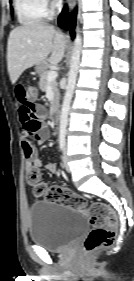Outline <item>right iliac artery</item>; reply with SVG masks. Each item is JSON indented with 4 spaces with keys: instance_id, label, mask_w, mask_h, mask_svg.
I'll return each instance as SVG.
<instances>
[{
    "instance_id": "1",
    "label": "right iliac artery",
    "mask_w": 134,
    "mask_h": 281,
    "mask_svg": "<svg viewBox=\"0 0 134 281\" xmlns=\"http://www.w3.org/2000/svg\"><path fill=\"white\" fill-rule=\"evenodd\" d=\"M64 145H65V140H64V138H60V139H59V147H60L61 151H63Z\"/></svg>"
}]
</instances>
